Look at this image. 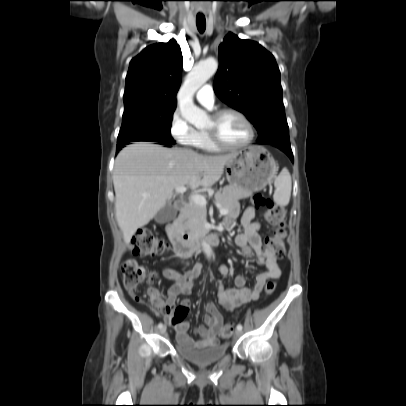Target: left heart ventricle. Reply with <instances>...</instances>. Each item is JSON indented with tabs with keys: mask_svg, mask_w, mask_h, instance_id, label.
I'll use <instances>...</instances> for the list:
<instances>
[{
	"mask_svg": "<svg viewBox=\"0 0 406 406\" xmlns=\"http://www.w3.org/2000/svg\"><path fill=\"white\" fill-rule=\"evenodd\" d=\"M215 128L223 142L230 145L243 143L248 137V128L245 123L235 114H224L218 121L211 117L206 129Z\"/></svg>",
	"mask_w": 406,
	"mask_h": 406,
	"instance_id": "left-heart-ventricle-1",
	"label": "left heart ventricle"
}]
</instances>
